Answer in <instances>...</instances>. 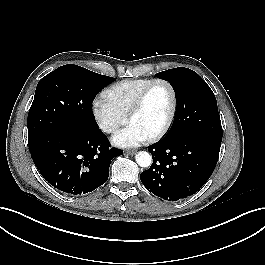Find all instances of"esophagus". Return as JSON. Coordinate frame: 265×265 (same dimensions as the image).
Returning a JSON list of instances; mask_svg holds the SVG:
<instances>
[{
	"instance_id": "esophagus-1",
	"label": "esophagus",
	"mask_w": 265,
	"mask_h": 265,
	"mask_svg": "<svg viewBox=\"0 0 265 265\" xmlns=\"http://www.w3.org/2000/svg\"><path fill=\"white\" fill-rule=\"evenodd\" d=\"M135 153H136L135 150H126V151L124 152L125 155H134Z\"/></svg>"
}]
</instances>
